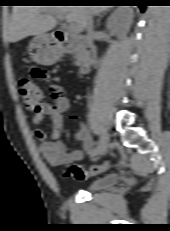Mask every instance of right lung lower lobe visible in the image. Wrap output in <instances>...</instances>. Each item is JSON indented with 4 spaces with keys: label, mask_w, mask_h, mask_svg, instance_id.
Masks as SVG:
<instances>
[{
    "label": "right lung lower lobe",
    "mask_w": 170,
    "mask_h": 231,
    "mask_svg": "<svg viewBox=\"0 0 170 231\" xmlns=\"http://www.w3.org/2000/svg\"><path fill=\"white\" fill-rule=\"evenodd\" d=\"M138 6L140 7L142 12L145 11V6L144 5H138Z\"/></svg>",
    "instance_id": "right-lung-lower-lobe-1"
}]
</instances>
